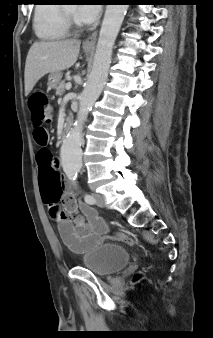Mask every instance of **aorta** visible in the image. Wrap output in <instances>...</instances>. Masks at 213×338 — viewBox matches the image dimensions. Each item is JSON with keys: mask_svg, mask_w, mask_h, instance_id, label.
<instances>
[{"mask_svg": "<svg viewBox=\"0 0 213 338\" xmlns=\"http://www.w3.org/2000/svg\"><path fill=\"white\" fill-rule=\"evenodd\" d=\"M127 9V5H107L106 7L92 70L79 98L77 119L62 146L61 164L70 179L76 177L82 167L83 124L106 83L113 46Z\"/></svg>", "mask_w": 213, "mask_h": 338, "instance_id": "1", "label": "aorta"}]
</instances>
